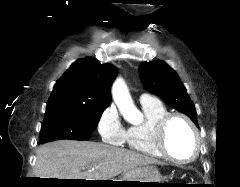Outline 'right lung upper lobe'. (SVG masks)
<instances>
[{
  "label": "right lung upper lobe",
  "mask_w": 240,
  "mask_h": 187,
  "mask_svg": "<svg viewBox=\"0 0 240 187\" xmlns=\"http://www.w3.org/2000/svg\"><path fill=\"white\" fill-rule=\"evenodd\" d=\"M115 76V67L108 63L100 64L92 57L80 59L56 82L46 108L58 105L105 108Z\"/></svg>",
  "instance_id": "cb5924a9"
}]
</instances>
